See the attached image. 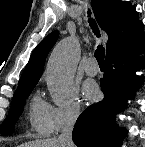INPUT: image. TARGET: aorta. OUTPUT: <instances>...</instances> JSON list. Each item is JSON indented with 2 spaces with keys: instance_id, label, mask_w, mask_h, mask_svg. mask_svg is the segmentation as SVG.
Wrapping results in <instances>:
<instances>
[{
  "instance_id": "1",
  "label": "aorta",
  "mask_w": 145,
  "mask_h": 147,
  "mask_svg": "<svg viewBox=\"0 0 145 147\" xmlns=\"http://www.w3.org/2000/svg\"><path fill=\"white\" fill-rule=\"evenodd\" d=\"M79 57L80 45L75 38L61 41L50 55L47 65V85L56 104L63 103L67 98Z\"/></svg>"
}]
</instances>
